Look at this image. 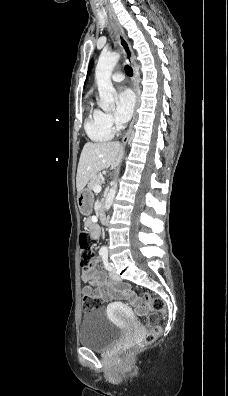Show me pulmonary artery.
Wrapping results in <instances>:
<instances>
[{
	"label": "pulmonary artery",
	"instance_id": "e3ab8cb5",
	"mask_svg": "<svg viewBox=\"0 0 228 396\" xmlns=\"http://www.w3.org/2000/svg\"><path fill=\"white\" fill-rule=\"evenodd\" d=\"M112 80L114 82H122L124 80V74L117 72L112 75Z\"/></svg>",
	"mask_w": 228,
	"mask_h": 396
}]
</instances>
